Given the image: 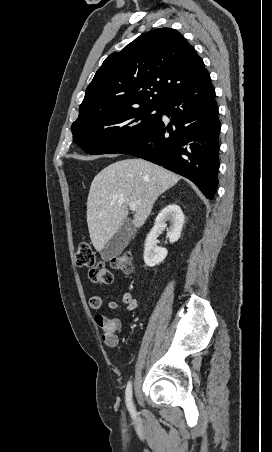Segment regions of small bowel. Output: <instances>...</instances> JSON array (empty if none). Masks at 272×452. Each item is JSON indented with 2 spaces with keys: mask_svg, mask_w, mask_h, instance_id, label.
Listing matches in <instances>:
<instances>
[{
  "mask_svg": "<svg viewBox=\"0 0 272 452\" xmlns=\"http://www.w3.org/2000/svg\"><path fill=\"white\" fill-rule=\"evenodd\" d=\"M104 304L101 295H93L89 299V307L93 310H99ZM107 307L111 310L134 311L138 307L137 299L130 292H124L121 296V302L109 301ZM94 322L98 328L103 331L102 339L106 345L117 343L118 334L121 331V322L117 318L107 317L102 314L94 316Z\"/></svg>",
  "mask_w": 272,
  "mask_h": 452,
  "instance_id": "obj_1",
  "label": "small bowel"
}]
</instances>
